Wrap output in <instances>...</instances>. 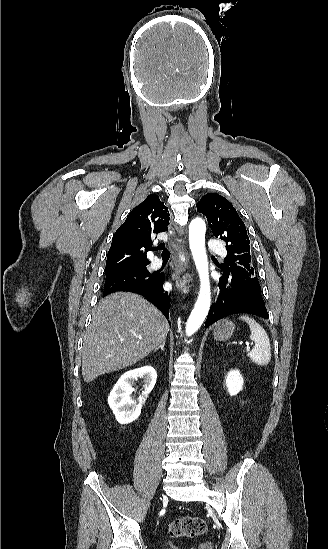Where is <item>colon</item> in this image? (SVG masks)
<instances>
[{"label": "colon", "instance_id": "obj_1", "mask_svg": "<svg viewBox=\"0 0 328 549\" xmlns=\"http://www.w3.org/2000/svg\"><path fill=\"white\" fill-rule=\"evenodd\" d=\"M206 529V522L201 517L184 516L171 523L169 534L173 538H190L204 534Z\"/></svg>", "mask_w": 328, "mask_h": 549}]
</instances>
